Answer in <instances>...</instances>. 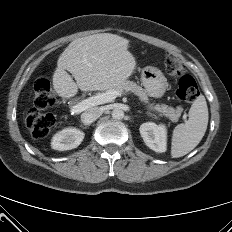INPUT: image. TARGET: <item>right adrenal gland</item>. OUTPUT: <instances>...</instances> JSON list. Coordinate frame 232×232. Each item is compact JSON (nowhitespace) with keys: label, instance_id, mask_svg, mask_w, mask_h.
<instances>
[{"label":"right adrenal gland","instance_id":"right-adrenal-gland-1","mask_svg":"<svg viewBox=\"0 0 232 232\" xmlns=\"http://www.w3.org/2000/svg\"><path fill=\"white\" fill-rule=\"evenodd\" d=\"M80 127H83V129H86V128H87V126L84 127V126H82V125H80Z\"/></svg>","mask_w":232,"mask_h":232}]
</instances>
